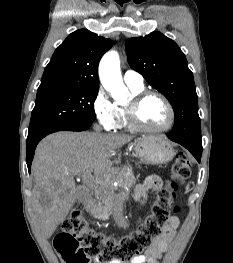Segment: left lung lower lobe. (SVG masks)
<instances>
[{
    "label": "left lung lower lobe",
    "instance_id": "left-lung-lower-lobe-1",
    "mask_svg": "<svg viewBox=\"0 0 233 263\" xmlns=\"http://www.w3.org/2000/svg\"><path fill=\"white\" fill-rule=\"evenodd\" d=\"M171 139V138H169ZM172 141L176 142V143H179L181 144L182 146H184L185 148H187L192 154L193 156L200 162V159H201V154H202V150L194 145H191V144H186V143H183V142H177L173 139H171Z\"/></svg>",
    "mask_w": 233,
    "mask_h": 263
}]
</instances>
